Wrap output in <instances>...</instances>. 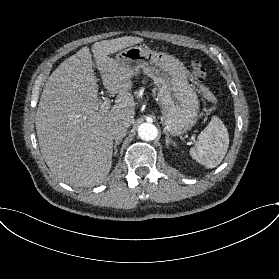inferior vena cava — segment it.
I'll list each match as a JSON object with an SVG mask.
<instances>
[{"label": "inferior vena cava", "instance_id": "obj_1", "mask_svg": "<svg viewBox=\"0 0 279 279\" xmlns=\"http://www.w3.org/2000/svg\"><path fill=\"white\" fill-rule=\"evenodd\" d=\"M128 126H126L123 123H119L114 125L111 130H110V134L113 137V139L115 140H121L127 133L128 130Z\"/></svg>", "mask_w": 279, "mask_h": 279}]
</instances>
